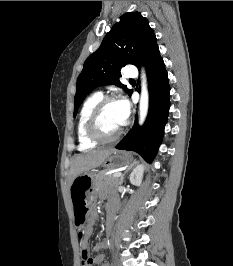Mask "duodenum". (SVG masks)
Segmentation results:
<instances>
[{
  "instance_id": "obj_1",
  "label": "duodenum",
  "mask_w": 233,
  "mask_h": 266,
  "mask_svg": "<svg viewBox=\"0 0 233 266\" xmlns=\"http://www.w3.org/2000/svg\"><path fill=\"white\" fill-rule=\"evenodd\" d=\"M116 212V208L113 205H110L107 209L108 221H112L114 219Z\"/></svg>"
}]
</instances>
